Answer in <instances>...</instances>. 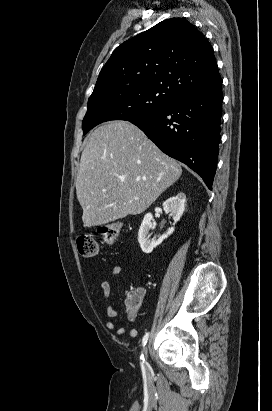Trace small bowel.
Wrapping results in <instances>:
<instances>
[{
	"label": "small bowel",
	"instance_id": "1",
	"mask_svg": "<svg viewBox=\"0 0 272 411\" xmlns=\"http://www.w3.org/2000/svg\"><path fill=\"white\" fill-rule=\"evenodd\" d=\"M123 269L121 266H115L112 269V274L113 276H119L122 273ZM100 287L103 293V296L105 300H109L110 295H111V287L110 283L106 280L102 281L100 283ZM106 312L107 316L111 319H114L118 317V311L115 310L110 304L107 305L106 307ZM106 327L109 330H114L118 335H125L128 334L131 338H137L138 337V331L135 328H130V327H119L116 322L113 320H110L106 323Z\"/></svg>",
	"mask_w": 272,
	"mask_h": 411
}]
</instances>
